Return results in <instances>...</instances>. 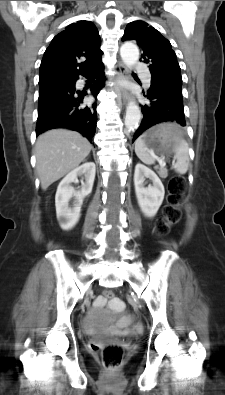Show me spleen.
<instances>
[{
	"instance_id": "1",
	"label": "spleen",
	"mask_w": 225,
	"mask_h": 395,
	"mask_svg": "<svg viewBox=\"0 0 225 395\" xmlns=\"http://www.w3.org/2000/svg\"><path fill=\"white\" fill-rule=\"evenodd\" d=\"M144 135L140 136L135 142V153L137 157L145 164L151 165L155 162V155L153 151L149 150L143 139ZM175 170L179 174H185L189 166L188 144L184 139H180L178 145L174 149Z\"/></svg>"
}]
</instances>
